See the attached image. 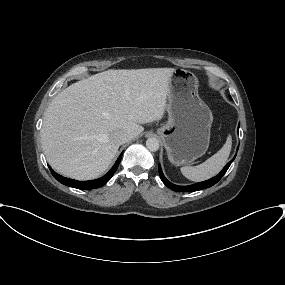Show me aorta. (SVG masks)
<instances>
[{
	"label": "aorta",
	"mask_w": 285,
	"mask_h": 285,
	"mask_svg": "<svg viewBox=\"0 0 285 285\" xmlns=\"http://www.w3.org/2000/svg\"><path fill=\"white\" fill-rule=\"evenodd\" d=\"M146 147L152 152L159 149V141L156 138H148L146 141Z\"/></svg>",
	"instance_id": "aorta-1"
}]
</instances>
